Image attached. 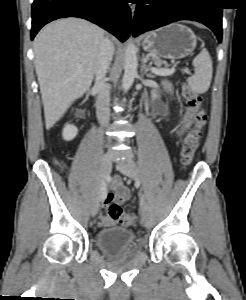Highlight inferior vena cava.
Returning <instances> with one entry per match:
<instances>
[{"instance_id":"obj_1","label":"inferior vena cava","mask_w":246,"mask_h":300,"mask_svg":"<svg viewBox=\"0 0 246 300\" xmlns=\"http://www.w3.org/2000/svg\"><path fill=\"white\" fill-rule=\"evenodd\" d=\"M114 46L112 42L105 38L101 41L97 58L95 61V88L98 91L96 100V114L100 124L106 125L109 122V102H110V86L105 83L109 65L112 61Z\"/></svg>"}]
</instances>
